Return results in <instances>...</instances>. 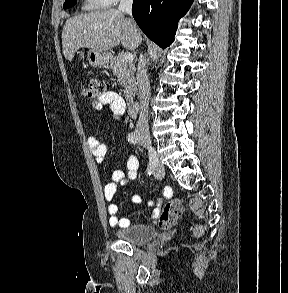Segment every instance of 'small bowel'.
Wrapping results in <instances>:
<instances>
[{
	"mask_svg": "<svg viewBox=\"0 0 288 293\" xmlns=\"http://www.w3.org/2000/svg\"><path fill=\"white\" fill-rule=\"evenodd\" d=\"M94 109L108 110L111 117L117 119L120 118L126 111V103L124 99L114 91H107L102 98L96 100L93 103ZM88 146L91 153L97 163H101L107 156L109 147L105 142H102L97 135H91L87 139ZM127 178L133 180L137 176L139 169V160L136 156L130 155L127 158ZM125 174L121 170H114L112 173V181L107 183L104 187V197L107 201H112L116 191L119 187L125 184ZM167 197V195H166ZM132 201L136 204L142 203V199L139 195H133ZM149 205H154L150 202ZM161 201L155 203V208L152 211V219L157 220L160 213ZM107 212L109 214V225L111 227H128L130 225V219L128 216L119 218L117 216L118 206L115 203H110L107 207Z\"/></svg>",
	"mask_w": 288,
	"mask_h": 293,
	"instance_id": "obj_1",
	"label": "small bowel"
}]
</instances>
